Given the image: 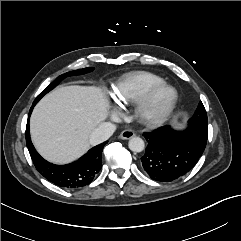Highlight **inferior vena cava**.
<instances>
[{"mask_svg": "<svg viewBox=\"0 0 241 241\" xmlns=\"http://www.w3.org/2000/svg\"><path fill=\"white\" fill-rule=\"evenodd\" d=\"M116 130V126L111 122H103L95 128L89 136L91 145H98L108 140Z\"/></svg>", "mask_w": 241, "mask_h": 241, "instance_id": "inferior-vena-cava-1", "label": "inferior vena cava"}]
</instances>
